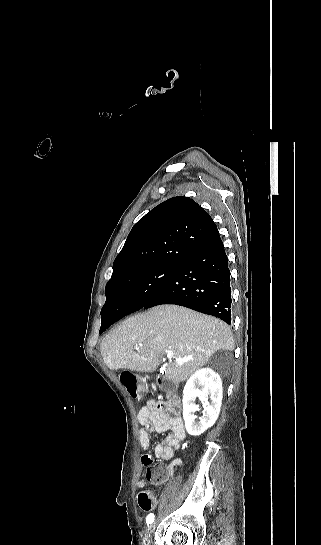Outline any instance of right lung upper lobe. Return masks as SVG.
<instances>
[{"label": "right lung upper lobe", "instance_id": "obj_1", "mask_svg": "<svg viewBox=\"0 0 321 545\" xmlns=\"http://www.w3.org/2000/svg\"><path fill=\"white\" fill-rule=\"evenodd\" d=\"M217 233L210 215L194 200L170 198L133 226L106 286L126 272L159 264L182 265Z\"/></svg>", "mask_w": 321, "mask_h": 545}]
</instances>
